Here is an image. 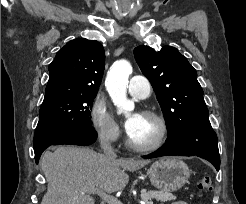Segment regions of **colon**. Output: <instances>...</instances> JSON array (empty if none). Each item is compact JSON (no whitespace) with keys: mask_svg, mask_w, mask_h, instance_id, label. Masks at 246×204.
Listing matches in <instances>:
<instances>
[{"mask_svg":"<svg viewBox=\"0 0 246 204\" xmlns=\"http://www.w3.org/2000/svg\"><path fill=\"white\" fill-rule=\"evenodd\" d=\"M197 188L201 191H210L212 189L211 179L207 176L202 177L197 183Z\"/></svg>","mask_w":246,"mask_h":204,"instance_id":"1","label":"colon"}]
</instances>
